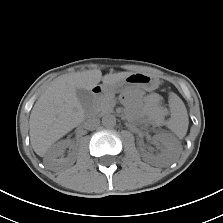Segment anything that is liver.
<instances>
[{"instance_id":"obj_1","label":"liver","mask_w":223,"mask_h":223,"mask_svg":"<svg viewBox=\"0 0 223 223\" xmlns=\"http://www.w3.org/2000/svg\"><path fill=\"white\" fill-rule=\"evenodd\" d=\"M132 72L106 74L88 70L59 76L50 83L36 101L30 115V142L37 155L43 157L50 146L80 125L85 112L76 90H92L102 80L113 84L126 79Z\"/></svg>"}]
</instances>
